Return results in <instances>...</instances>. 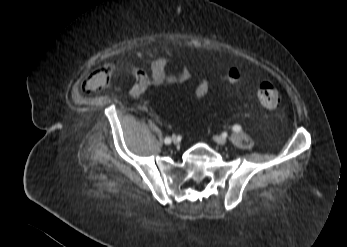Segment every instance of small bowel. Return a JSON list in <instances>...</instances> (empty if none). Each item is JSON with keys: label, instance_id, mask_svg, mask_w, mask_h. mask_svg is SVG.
Wrapping results in <instances>:
<instances>
[{"label": "small bowel", "instance_id": "small-bowel-1", "mask_svg": "<svg viewBox=\"0 0 347 247\" xmlns=\"http://www.w3.org/2000/svg\"><path fill=\"white\" fill-rule=\"evenodd\" d=\"M167 57L159 55L151 63L150 76L139 67H130V73L134 83L129 89V94L134 98L141 97L150 85L153 86H174L186 82L191 77V70L188 65H184L179 71L174 73L166 72ZM115 66H106L88 76L82 83L83 90L90 92L99 90L107 79L116 72ZM210 90L208 79L201 80L193 91V98L199 101L207 96Z\"/></svg>", "mask_w": 347, "mask_h": 247}]
</instances>
